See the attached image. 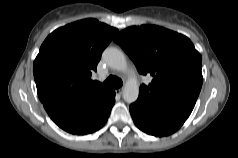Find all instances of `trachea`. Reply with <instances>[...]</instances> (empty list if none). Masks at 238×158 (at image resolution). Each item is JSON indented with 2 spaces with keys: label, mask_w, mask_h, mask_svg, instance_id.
<instances>
[{
  "label": "trachea",
  "mask_w": 238,
  "mask_h": 158,
  "mask_svg": "<svg viewBox=\"0 0 238 158\" xmlns=\"http://www.w3.org/2000/svg\"><path fill=\"white\" fill-rule=\"evenodd\" d=\"M103 84L109 88L118 89L123 85V82L115 76H109Z\"/></svg>",
  "instance_id": "1"
}]
</instances>
